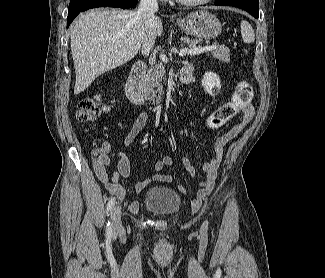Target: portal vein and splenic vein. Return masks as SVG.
Wrapping results in <instances>:
<instances>
[{"label": "portal vein and splenic vein", "mask_w": 325, "mask_h": 278, "mask_svg": "<svg viewBox=\"0 0 325 278\" xmlns=\"http://www.w3.org/2000/svg\"><path fill=\"white\" fill-rule=\"evenodd\" d=\"M217 47L216 44H212V45H209V46H205V47H196V48H193V49H188V48H183L180 50L179 52V56L182 57L184 55H198V54H201L203 52H207V51H212L214 50L215 48ZM160 59L167 63L168 62V58L166 57L165 54H160Z\"/></svg>", "instance_id": "18ae733b"}]
</instances>
